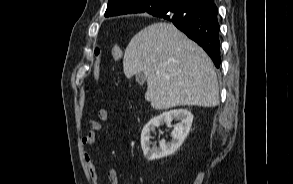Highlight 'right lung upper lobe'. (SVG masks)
Segmentation results:
<instances>
[{
  "label": "right lung upper lobe",
  "mask_w": 293,
  "mask_h": 184,
  "mask_svg": "<svg viewBox=\"0 0 293 184\" xmlns=\"http://www.w3.org/2000/svg\"><path fill=\"white\" fill-rule=\"evenodd\" d=\"M154 1L157 0H109L108 7L105 12L106 17L118 16L131 13L147 12L153 16L162 14L163 12L175 7L183 0H168L169 6L162 11H155L152 7ZM198 2L199 5L213 3V0H188Z\"/></svg>",
  "instance_id": "right-lung-upper-lobe-1"
}]
</instances>
